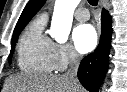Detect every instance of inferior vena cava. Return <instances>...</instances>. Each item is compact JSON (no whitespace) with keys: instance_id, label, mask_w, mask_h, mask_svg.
<instances>
[{"instance_id":"1","label":"inferior vena cava","mask_w":127,"mask_h":92,"mask_svg":"<svg viewBox=\"0 0 127 92\" xmlns=\"http://www.w3.org/2000/svg\"><path fill=\"white\" fill-rule=\"evenodd\" d=\"M80 55L73 49L70 52V65L68 71L65 73V76L70 79L74 85H78L79 81L77 78V72L80 65Z\"/></svg>"}]
</instances>
